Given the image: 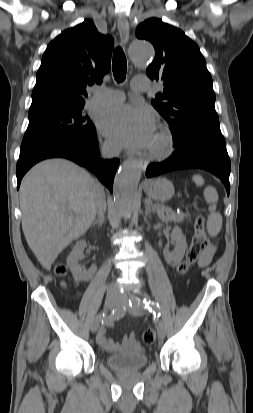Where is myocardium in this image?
<instances>
[{"instance_id": "1", "label": "myocardium", "mask_w": 253, "mask_h": 413, "mask_svg": "<svg viewBox=\"0 0 253 413\" xmlns=\"http://www.w3.org/2000/svg\"><path fill=\"white\" fill-rule=\"evenodd\" d=\"M157 142L148 149V155L153 159H165L174 151V139L170 130L160 125L157 131Z\"/></svg>"}]
</instances>
